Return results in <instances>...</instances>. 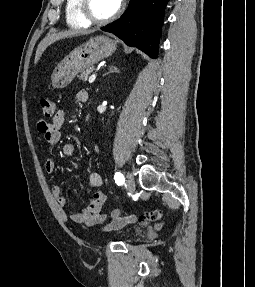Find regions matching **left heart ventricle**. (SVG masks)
Returning a JSON list of instances; mask_svg holds the SVG:
<instances>
[{"mask_svg": "<svg viewBox=\"0 0 255 287\" xmlns=\"http://www.w3.org/2000/svg\"><path fill=\"white\" fill-rule=\"evenodd\" d=\"M95 33H123V32H95ZM95 39H125V38H95ZM90 48H132V47H90Z\"/></svg>", "mask_w": 255, "mask_h": 287, "instance_id": "left-heart-ventricle-1", "label": "left heart ventricle"}]
</instances>
